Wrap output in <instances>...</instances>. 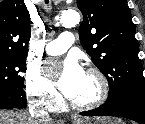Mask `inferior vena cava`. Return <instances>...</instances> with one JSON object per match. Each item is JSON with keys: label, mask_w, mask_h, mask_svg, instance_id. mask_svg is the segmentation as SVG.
I'll use <instances>...</instances> for the list:
<instances>
[{"label": "inferior vena cava", "mask_w": 145, "mask_h": 124, "mask_svg": "<svg viewBox=\"0 0 145 124\" xmlns=\"http://www.w3.org/2000/svg\"><path fill=\"white\" fill-rule=\"evenodd\" d=\"M31 117H32V119H34L36 121L35 123H38V121L48 118V115L44 114L42 112L35 111V112L31 113Z\"/></svg>", "instance_id": "inferior-vena-cava-1"}]
</instances>
